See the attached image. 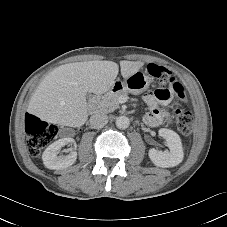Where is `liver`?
<instances>
[{
    "mask_svg": "<svg viewBox=\"0 0 227 227\" xmlns=\"http://www.w3.org/2000/svg\"><path fill=\"white\" fill-rule=\"evenodd\" d=\"M144 65L141 61H120L121 75L128 78ZM119 72L113 61H86L61 65L40 82L28 112L42 121L80 127L88 119L87 92L97 95L110 90Z\"/></svg>",
    "mask_w": 227,
    "mask_h": 227,
    "instance_id": "obj_1",
    "label": "liver"
}]
</instances>
